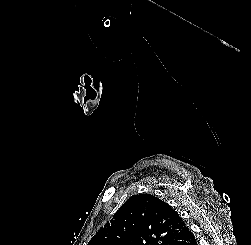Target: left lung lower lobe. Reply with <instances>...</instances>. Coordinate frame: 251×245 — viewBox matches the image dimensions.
<instances>
[{"label": "left lung lower lobe", "instance_id": "obj_1", "mask_svg": "<svg viewBox=\"0 0 251 245\" xmlns=\"http://www.w3.org/2000/svg\"><path fill=\"white\" fill-rule=\"evenodd\" d=\"M171 245H197V241L191 230L184 228Z\"/></svg>", "mask_w": 251, "mask_h": 245}]
</instances>
